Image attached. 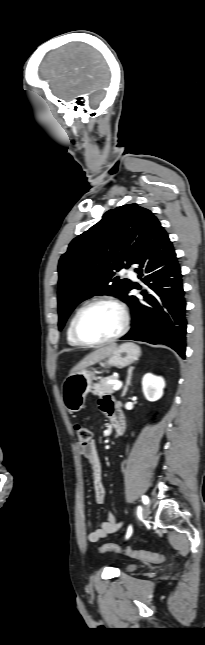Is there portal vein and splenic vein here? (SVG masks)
<instances>
[{"mask_svg":"<svg viewBox=\"0 0 205 645\" xmlns=\"http://www.w3.org/2000/svg\"><path fill=\"white\" fill-rule=\"evenodd\" d=\"M121 387H122V382H121V381H118V382H116V383H115V385H114V387H113V390L117 391V390H119Z\"/></svg>","mask_w":205,"mask_h":645,"instance_id":"18ae733b","label":"portal vein and splenic vein"}]
</instances>
